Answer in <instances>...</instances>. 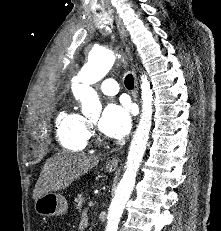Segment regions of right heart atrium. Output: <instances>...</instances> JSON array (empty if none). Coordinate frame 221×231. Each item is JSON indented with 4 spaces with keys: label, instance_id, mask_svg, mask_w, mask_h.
<instances>
[{
    "label": "right heart atrium",
    "instance_id": "1",
    "mask_svg": "<svg viewBox=\"0 0 221 231\" xmlns=\"http://www.w3.org/2000/svg\"><path fill=\"white\" fill-rule=\"evenodd\" d=\"M93 131L92 128L88 125V137L92 136Z\"/></svg>",
    "mask_w": 221,
    "mask_h": 231
}]
</instances>
